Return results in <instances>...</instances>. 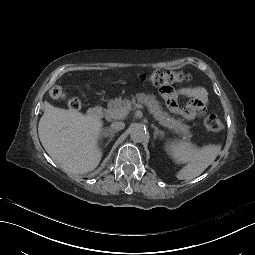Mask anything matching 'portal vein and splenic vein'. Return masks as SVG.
<instances>
[{"instance_id":"obj_1","label":"portal vein and splenic vein","mask_w":255,"mask_h":255,"mask_svg":"<svg viewBox=\"0 0 255 255\" xmlns=\"http://www.w3.org/2000/svg\"><path fill=\"white\" fill-rule=\"evenodd\" d=\"M133 107H134L136 110L145 111V108H143V105H142L141 103L133 104ZM124 114L126 115V110H124Z\"/></svg>"}]
</instances>
